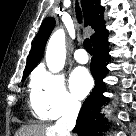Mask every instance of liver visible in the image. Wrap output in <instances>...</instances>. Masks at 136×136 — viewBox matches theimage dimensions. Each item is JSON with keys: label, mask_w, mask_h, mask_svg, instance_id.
Returning <instances> with one entry per match:
<instances>
[{"label": "liver", "mask_w": 136, "mask_h": 136, "mask_svg": "<svg viewBox=\"0 0 136 136\" xmlns=\"http://www.w3.org/2000/svg\"><path fill=\"white\" fill-rule=\"evenodd\" d=\"M15 136H59L54 126L34 124L22 127Z\"/></svg>", "instance_id": "1"}]
</instances>
